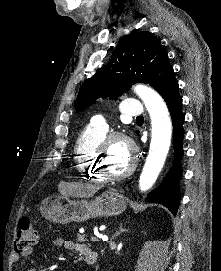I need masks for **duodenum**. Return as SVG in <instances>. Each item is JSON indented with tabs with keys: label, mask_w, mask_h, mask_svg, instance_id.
Returning <instances> with one entry per match:
<instances>
[{
	"label": "duodenum",
	"mask_w": 221,
	"mask_h": 271,
	"mask_svg": "<svg viewBox=\"0 0 221 271\" xmlns=\"http://www.w3.org/2000/svg\"><path fill=\"white\" fill-rule=\"evenodd\" d=\"M98 256L96 253H93L91 255H89L88 257H86V262L90 265L95 264L97 262Z\"/></svg>",
	"instance_id": "obj_1"
}]
</instances>
